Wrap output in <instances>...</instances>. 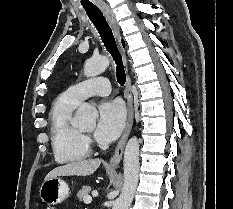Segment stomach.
<instances>
[{
	"mask_svg": "<svg viewBox=\"0 0 233 209\" xmlns=\"http://www.w3.org/2000/svg\"><path fill=\"white\" fill-rule=\"evenodd\" d=\"M69 186L60 177L45 180L39 190L41 200L48 205H57L69 196Z\"/></svg>",
	"mask_w": 233,
	"mask_h": 209,
	"instance_id": "obj_1",
	"label": "stomach"
}]
</instances>
